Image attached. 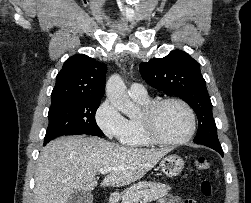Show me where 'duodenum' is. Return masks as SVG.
<instances>
[{"mask_svg":"<svg viewBox=\"0 0 251 203\" xmlns=\"http://www.w3.org/2000/svg\"><path fill=\"white\" fill-rule=\"evenodd\" d=\"M118 199H119V194L113 193L109 197V203H117Z\"/></svg>","mask_w":251,"mask_h":203,"instance_id":"obj_1","label":"duodenum"}]
</instances>
